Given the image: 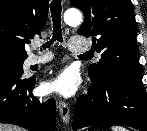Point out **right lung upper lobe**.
<instances>
[{
    "mask_svg": "<svg viewBox=\"0 0 147 131\" xmlns=\"http://www.w3.org/2000/svg\"><path fill=\"white\" fill-rule=\"evenodd\" d=\"M49 0H0V58L25 59V43L47 20Z\"/></svg>",
    "mask_w": 147,
    "mask_h": 131,
    "instance_id": "cb5924a9",
    "label": "right lung upper lobe"
}]
</instances>
